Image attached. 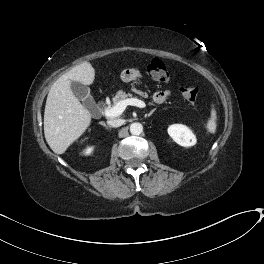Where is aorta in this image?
<instances>
[{
  "label": "aorta",
  "mask_w": 264,
  "mask_h": 264,
  "mask_svg": "<svg viewBox=\"0 0 264 264\" xmlns=\"http://www.w3.org/2000/svg\"><path fill=\"white\" fill-rule=\"evenodd\" d=\"M143 131L141 123L135 122L130 125V132L132 135H140Z\"/></svg>",
  "instance_id": "aorta-1"
}]
</instances>
